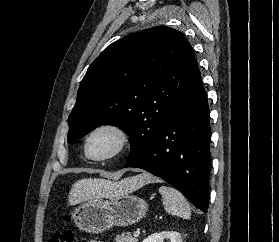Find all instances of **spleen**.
<instances>
[{
    "instance_id": "1",
    "label": "spleen",
    "mask_w": 279,
    "mask_h": 242,
    "mask_svg": "<svg viewBox=\"0 0 279 242\" xmlns=\"http://www.w3.org/2000/svg\"><path fill=\"white\" fill-rule=\"evenodd\" d=\"M159 193L162 195L163 205L167 213L184 219L190 218L189 204L180 191L173 187L160 186Z\"/></svg>"
}]
</instances>
